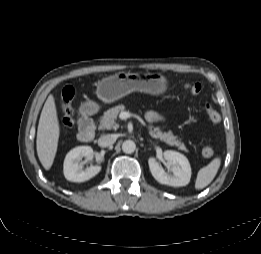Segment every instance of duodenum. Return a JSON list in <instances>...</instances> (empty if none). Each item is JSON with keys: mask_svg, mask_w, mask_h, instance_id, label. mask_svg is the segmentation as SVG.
<instances>
[{"mask_svg": "<svg viewBox=\"0 0 261 254\" xmlns=\"http://www.w3.org/2000/svg\"><path fill=\"white\" fill-rule=\"evenodd\" d=\"M94 112L89 108L82 110L81 116L78 119L79 134L78 138L81 142H91L96 135L95 125L92 121Z\"/></svg>", "mask_w": 261, "mask_h": 254, "instance_id": "obj_1", "label": "duodenum"}]
</instances>
